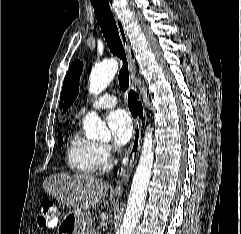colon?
<instances>
[{
  "label": "colon",
  "mask_w": 241,
  "mask_h": 234,
  "mask_svg": "<svg viewBox=\"0 0 241 234\" xmlns=\"http://www.w3.org/2000/svg\"><path fill=\"white\" fill-rule=\"evenodd\" d=\"M37 221L41 228H54L57 225L58 214L52 202H43Z\"/></svg>",
  "instance_id": "1"
}]
</instances>
